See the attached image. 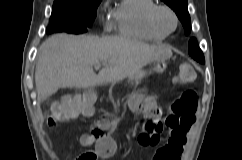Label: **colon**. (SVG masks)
<instances>
[{
  "instance_id": "1",
  "label": "colon",
  "mask_w": 242,
  "mask_h": 160,
  "mask_svg": "<svg viewBox=\"0 0 242 160\" xmlns=\"http://www.w3.org/2000/svg\"><path fill=\"white\" fill-rule=\"evenodd\" d=\"M196 78L195 68L184 63L179 68L177 81L179 83H192ZM93 96L85 95L83 97H66L61 102L52 106L51 112L47 117V124L54 127L60 123L68 122L77 118L84 111L92 108ZM197 106L196 93L193 90L184 91L181 96L173 103L172 112L167 116L166 123L169 128L177 129L172 132V137L178 140L182 139V132L178 130L189 129L195 120V109ZM140 109L144 112L147 120L143 131L139 136V142L143 145H155L159 141V132L162 129L159 116L160 108L152 101H143L140 103ZM112 124L110 119H102L97 122L91 142L96 140L99 132H104ZM80 160H97L94 152H85Z\"/></svg>"
}]
</instances>
